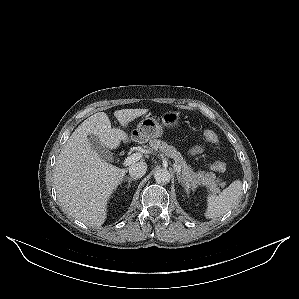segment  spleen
<instances>
[{
	"instance_id": "1",
	"label": "spleen",
	"mask_w": 299,
	"mask_h": 299,
	"mask_svg": "<svg viewBox=\"0 0 299 299\" xmlns=\"http://www.w3.org/2000/svg\"><path fill=\"white\" fill-rule=\"evenodd\" d=\"M242 191V182L235 180L219 195L209 194L207 196V209L205 217L215 219L228 212L239 200Z\"/></svg>"
}]
</instances>
